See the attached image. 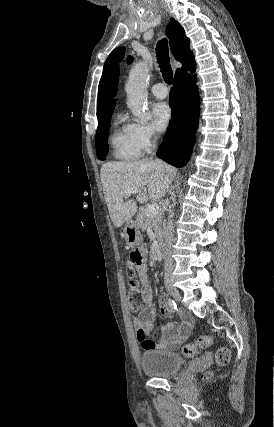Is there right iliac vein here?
Here are the masks:
<instances>
[{"instance_id": "right-iliac-vein-1", "label": "right iliac vein", "mask_w": 274, "mask_h": 427, "mask_svg": "<svg viewBox=\"0 0 274 427\" xmlns=\"http://www.w3.org/2000/svg\"><path fill=\"white\" fill-rule=\"evenodd\" d=\"M166 288L168 292L172 295V297L177 301L181 302V295L176 287L172 285L171 282H167Z\"/></svg>"}]
</instances>
